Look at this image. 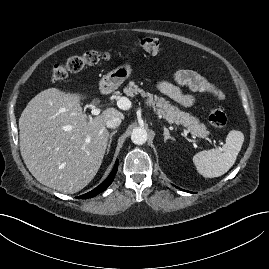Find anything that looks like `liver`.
Listing matches in <instances>:
<instances>
[{"label":"liver","mask_w":269,"mask_h":269,"mask_svg":"<svg viewBox=\"0 0 269 269\" xmlns=\"http://www.w3.org/2000/svg\"><path fill=\"white\" fill-rule=\"evenodd\" d=\"M84 98L49 88L37 94L19 118L20 151L28 170L43 185L66 194L92 181L108 144L107 120L124 118L113 107L88 118L80 104Z\"/></svg>","instance_id":"obj_1"}]
</instances>
